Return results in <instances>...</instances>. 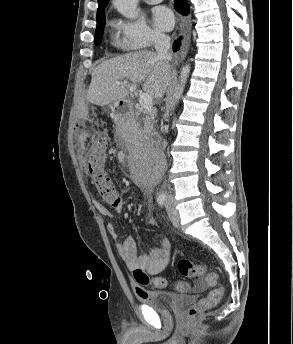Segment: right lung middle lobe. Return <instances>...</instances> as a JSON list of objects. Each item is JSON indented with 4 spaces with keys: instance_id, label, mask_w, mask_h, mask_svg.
Here are the masks:
<instances>
[{
    "instance_id": "1",
    "label": "right lung middle lobe",
    "mask_w": 293,
    "mask_h": 344,
    "mask_svg": "<svg viewBox=\"0 0 293 344\" xmlns=\"http://www.w3.org/2000/svg\"><path fill=\"white\" fill-rule=\"evenodd\" d=\"M105 26V13L101 12L97 17V26L95 31V43L98 45L101 42L103 29Z\"/></svg>"
}]
</instances>
